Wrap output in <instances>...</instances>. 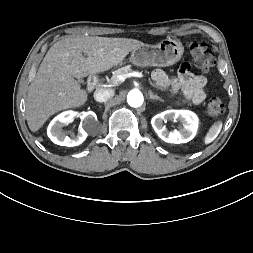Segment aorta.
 <instances>
[{"label": "aorta", "instance_id": "762f6f07", "mask_svg": "<svg viewBox=\"0 0 253 253\" xmlns=\"http://www.w3.org/2000/svg\"><path fill=\"white\" fill-rule=\"evenodd\" d=\"M144 98L139 90H131L127 95V102L131 107H140Z\"/></svg>", "mask_w": 253, "mask_h": 253}]
</instances>
